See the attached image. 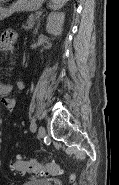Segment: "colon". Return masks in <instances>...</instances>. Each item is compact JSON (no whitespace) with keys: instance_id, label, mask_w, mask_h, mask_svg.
<instances>
[{"instance_id":"colon-1","label":"colon","mask_w":119,"mask_h":185,"mask_svg":"<svg viewBox=\"0 0 119 185\" xmlns=\"http://www.w3.org/2000/svg\"><path fill=\"white\" fill-rule=\"evenodd\" d=\"M12 169L18 173H30L44 177L61 174V168L55 162L40 163L36 160H22L19 158L12 164ZM72 179H74V175Z\"/></svg>"}]
</instances>
